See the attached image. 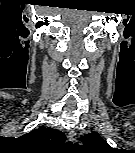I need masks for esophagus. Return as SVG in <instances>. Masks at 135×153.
<instances>
[{
	"label": "esophagus",
	"instance_id": "34e87169",
	"mask_svg": "<svg viewBox=\"0 0 135 153\" xmlns=\"http://www.w3.org/2000/svg\"><path fill=\"white\" fill-rule=\"evenodd\" d=\"M68 138L71 142H75L77 138L76 131L74 129L69 131Z\"/></svg>",
	"mask_w": 135,
	"mask_h": 153
}]
</instances>
